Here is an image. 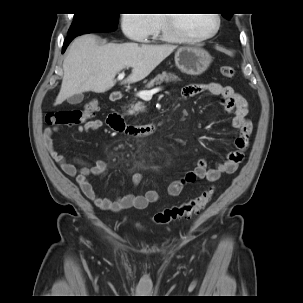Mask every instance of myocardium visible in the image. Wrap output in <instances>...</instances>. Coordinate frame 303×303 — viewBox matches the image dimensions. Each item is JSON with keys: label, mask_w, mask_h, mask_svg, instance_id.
<instances>
[{"label": "myocardium", "mask_w": 303, "mask_h": 303, "mask_svg": "<svg viewBox=\"0 0 303 303\" xmlns=\"http://www.w3.org/2000/svg\"><path fill=\"white\" fill-rule=\"evenodd\" d=\"M183 14H164V21H165V28L166 31L174 37L177 41L182 42H200L205 41L213 36L216 35V33L219 31V28L221 26V18L220 15L215 13L212 14L215 19V26L214 28L207 34L201 35V36H192L184 32L179 27V21L182 19Z\"/></svg>", "instance_id": "obj_1"}]
</instances>
